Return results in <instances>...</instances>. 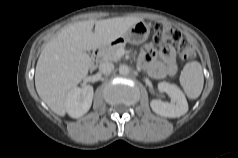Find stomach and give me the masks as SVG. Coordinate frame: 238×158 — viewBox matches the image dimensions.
I'll use <instances>...</instances> for the list:
<instances>
[{
	"instance_id": "stomach-1",
	"label": "stomach",
	"mask_w": 238,
	"mask_h": 158,
	"mask_svg": "<svg viewBox=\"0 0 238 158\" xmlns=\"http://www.w3.org/2000/svg\"><path fill=\"white\" fill-rule=\"evenodd\" d=\"M150 35V25L140 21L131 26L117 41L128 42L131 44H141L147 40Z\"/></svg>"
}]
</instances>
